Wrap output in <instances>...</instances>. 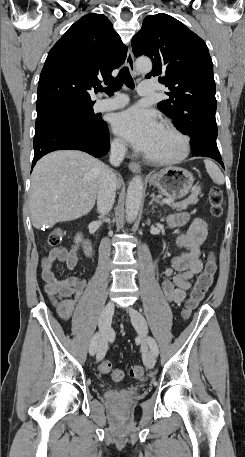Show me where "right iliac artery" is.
I'll return each instance as SVG.
<instances>
[{"instance_id": "82829eb1", "label": "right iliac artery", "mask_w": 245, "mask_h": 457, "mask_svg": "<svg viewBox=\"0 0 245 457\" xmlns=\"http://www.w3.org/2000/svg\"><path fill=\"white\" fill-rule=\"evenodd\" d=\"M99 339H100V333L96 332L91 340V344H90V348H89V353L91 355H94L96 353L97 344L99 342Z\"/></svg>"}]
</instances>
